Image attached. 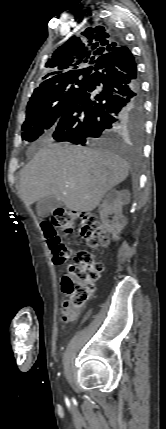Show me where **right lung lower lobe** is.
Wrapping results in <instances>:
<instances>
[{"instance_id":"right-lung-lower-lobe-1","label":"right lung lower lobe","mask_w":166,"mask_h":429,"mask_svg":"<svg viewBox=\"0 0 166 429\" xmlns=\"http://www.w3.org/2000/svg\"><path fill=\"white\" fill-rule=\"evenodd\" d=\"M143 125V96L135 59L126 46H120L96 60L88 82L55 125L53 138L97 144L126 128L137 134Z\"/></svg>"}]
</instances>
